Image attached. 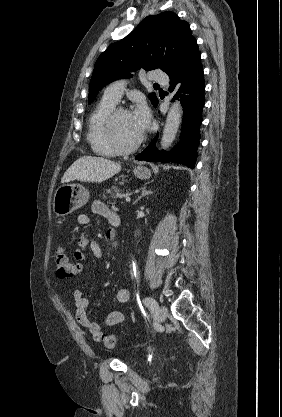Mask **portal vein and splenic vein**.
I'll return each mask as SVG.
<instances>
[{"label":"portal vein and splenic vein","instance_id":"1","mask_svg":"<svg viewBox=\"0 0 282 417\" xmlns=\"http://www.w3.org/2000/svg\"><path fill=\"white\" fill-rule=\"evenodd\" d=\"M129 200H131L130 196H127V195H124V196H123V202H124V203H128V202H129Z\"/></svg>","mask_w":282,"mask_h":417}]
</instances>
